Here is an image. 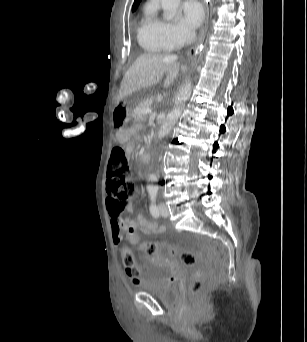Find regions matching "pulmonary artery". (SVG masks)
Returning <instances> with one entry per match:
<instances>
[{
  "label": "pulmonary artery",
  "instance_id": "obj_1",
  "mask_svg": "<svg viewBox=\"0 0 307 342\" xmlns=\"http://www.w3.org/2000/svg\"><path fill=\"white\" fill-rule=\"evenodd\" d=\"M145 14H146L147 16H152L153 10L150 9V8H148V9H146Z\"/></svg>",
  "mask_w": 307,
  "mask_h": 342
}]
</instances>
